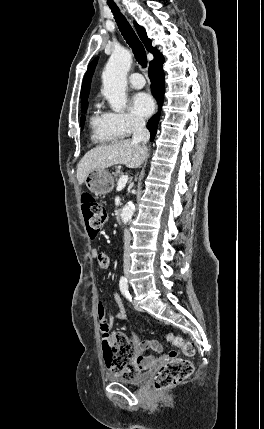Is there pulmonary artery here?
<instances>
[{
	"label": "pulmonary artery",
	"instance_id": "1",
	"mask_svg": "<svg viewBox=\"0 0 264 429\" xmlns=\"http://www.w3.org/2000/svg\"><path fill=\"white\" fill-rule=\"evenodd\" d=\"M129 83H130L131 87H133L135 89H140V88L144 87L145 80L140 73H132L129 76Z\"/></svg>",
	"mask_w": 264,
	"mask_h": 429
}]
</instances>
